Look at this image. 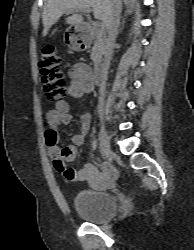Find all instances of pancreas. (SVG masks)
Here are the masks:
<instances>
[{"label": "pancreas", "mask_w": 194, "mask_h": 250, "mask_svg": "<svg viewBox=\"0 0 194 250\" xmlns=\"http://www.w3.org/2000/svg\"><path fill=\"white\" fill-rule=\"evenodd\" d=\"M94 45L92 47L91 59L96 63L100 60L105 49V34L102 30L97 29L93 33Z\"/></svg>", "instance_id": "obj_1"}]
</instances>
